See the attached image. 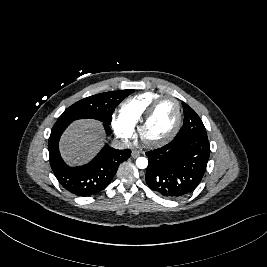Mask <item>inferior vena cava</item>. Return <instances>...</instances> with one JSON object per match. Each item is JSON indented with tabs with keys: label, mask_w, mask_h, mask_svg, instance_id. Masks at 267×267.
Segmentation results:
<instances>
[{
	"label": "inferior vena cava",
	"mask_w": 267,
	"mask_h": 267,
	"mask_svg": "<svg viewBox=\"0 0 267 267\" xmlns=\"http://www.w3.org/2000/svg\"><path fill=\"white\" fill-rule=\"evenodd\" d=\"M112 145L116 149H125V148H128L130 144H129V142L127 140H118V139H115L112 142Z\"/></svg>",
	"instance_id": "obj_1"
}]
</instances>
